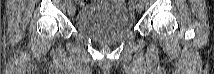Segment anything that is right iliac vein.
I'll use <instances>...</instances> for the list:
<instances>
[{
	"label": "right iliac vein",
	"mask_w": 214,
	"mask_h": 74,
	"mask_svg": "<svg viewBox=\"0 0 214 74\" xmlns=\"http://www.w3.org/2000/svg\"><path fill=\"white\" fill-rule=\"evenodd\" d=\"M68 14H69L70 16H73V15L75 14V7H74L73 5H70V6L68 7Z\"/></svg>",
	"instance_id": "obj_1"
}]
</instances>
